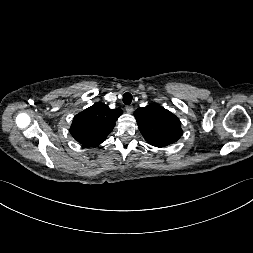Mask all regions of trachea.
<instances>
[{"label": "trachea", "mask_w": 253, "mask_h": 253, "mask_svg": "<svg viewBox=\"0 0 253 253\" xmlns=\"http://www.w3.org/2000/svg\"><path fill=\"white\" fill-rule=\"evenodd\" d=\"M132 102V95L129 92H126L123 95V103L126 105H129Z\"/></svg>", "instance_id": "1"}]
</instances>
